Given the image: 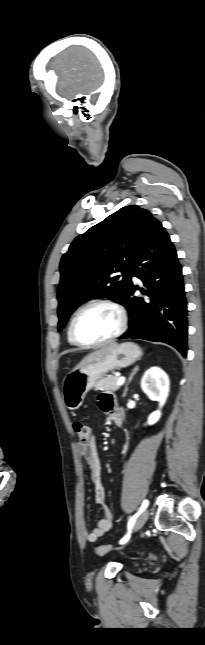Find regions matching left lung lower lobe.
Wrapping results in <instances>:
<instances>
[{"instance_id": "obj_1", "label": "left lung lower lobe", "mask_w": 205, "mask_h": 645, "mask_svg": "<svg viewBox=\"0 0 205 645\" xmlns=\"http://www.w3.org/2000/svg\"><path fill=\"white\" fill-rule=\"evenodd\" d=\"M148 288L145 299L133 296L132 281L122 305L130 315V327L120 337L164 342L187 355V301L182 267L166 230L153 219L138 243L130 269Z\"/></svg>"}]
</instances>
